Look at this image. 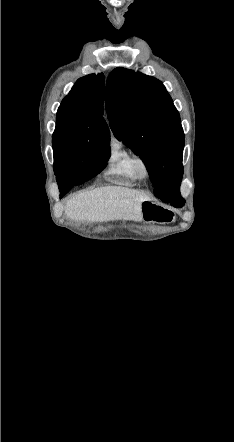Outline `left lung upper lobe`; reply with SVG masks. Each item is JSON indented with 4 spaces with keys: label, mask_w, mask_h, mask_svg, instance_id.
I'll return each mask as SVG.
<instances>
[{
    "label": "left lung upper lobe",
    "mask_w": 234,
    "mask_h": 442,
    "mask_svg": "<svg viewBox=\"0 0 234 442\" xmlns=\"http://www.w3.org/2000/svg\"><path fill=\"white\" fill-rule=\"evenodd\" d=\"M105 106L115 137L145 163L155 196L167 202L180 198L184 133L162 82L116 68L108 76Z\"/></svg>",
    "instance_id": "left-lung-upper-lobe-1"
}]
</instances>
